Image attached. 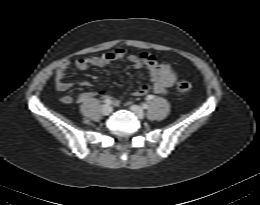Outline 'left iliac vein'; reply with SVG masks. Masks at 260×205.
Segmentation results:
<instances>
[{"label": "left iliac vein", "mask_w": 260, "mask_h": 205, "mask_svg": "<svg viewBox=\"0 0 260 205\" xmlns=\"http://www.w3.org/2000/svg\"><path fill=\"white\" fill-rule=\"evenodd\" d=\"M131 111L136 115L137 118L143 119L145 114L143 109L138 105H131L130 107Z\"/></svg>", "instance_id": "left-iliac-vein-1"}]
</instances>
